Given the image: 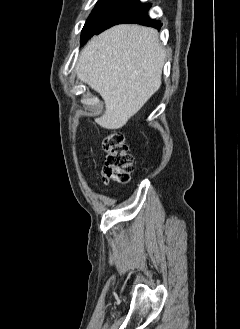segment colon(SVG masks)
<instances>
[{"mask_svg":"<svg viewBox=\"0 0 240 329\" xmlns=\"http://www.w3.org/2000/svg\"><path fill=\"white\" fill-rule=\"evenodd\" d=\"M103 149L107 152L106 163L102 173L104 183L126 184L131 179L133 157L125 143L124 135L113 131L103 140Z\"/></svg>","mask_w":240,"mask_h":329,"instance_id":"colon-1","label":"colon"}]
</instances>
